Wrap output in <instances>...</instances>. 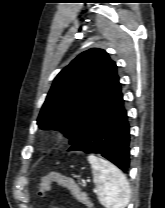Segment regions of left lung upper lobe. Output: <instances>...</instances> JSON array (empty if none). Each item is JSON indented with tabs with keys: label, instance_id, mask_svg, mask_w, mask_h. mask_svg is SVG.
Here are the masks:
<instances>
[{
	"label": "left lung upper lobe",
	"instance_id": "5c2ea615",
	"mask_svg": "<svg viewBox=\"0 0 165 208\" xmlns=\"http://www.w3.org/2000/svg\"><path fill=\"white\" fill-rule=\"evenodd\" d=\"M118 81L116 63L106 51L92 48L81 53L54 79L37 124L65 131L72 144Z\"/></svg>",
	"mask_w": 165,
	"mask_h": 208
}]
</instances>
